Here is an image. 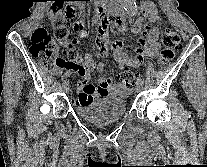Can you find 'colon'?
Returning a JSON list of instances; mask_svg holds the SVG:
<instances>
[{
    "label": "colon",
    "mask_w": 207,
    "mask_h": 167,
    "mask_svg": "<svg viewBox=\"0 0 207 167\" xmlns=\"http://www.w3.org/2000/svg\"><path fill=\"white\" fill-rule=\"evenodd\" d=\"M52 22L55 28L56 39L64 44L70 45L76 42L72 28L74 11L72 7H53ZM163 49L158 58V66L169 64L175 54V49L180 45L179 36L171 31L165 30L162 34ZM30 54L37 59L44 68H51L66 64L73 68L93 67L95 64L88 57H82L76 49L70 48L67 51L68 60L64 63L59 57L57 46L53 38L44 27L36 28L31 35ZM135 73L122 68L120 72V84L125 88H130L135 80Z\"/></svg>",
    "instance_id": "obj_1"
}]
</instances>
